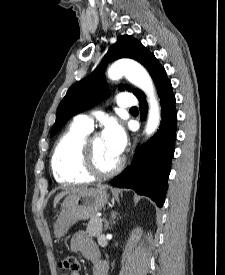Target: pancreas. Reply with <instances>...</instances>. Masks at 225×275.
<instances>
[{
  "label": "pancreas",
  "mask_w": 225,
  "mask_h": 275,
  "mask_svg": "<svg viewBox=\"0 0 225 275\" xmlns=\"http://www.w3.org/2000/svg\"><path fill=\"white\" fill-rule=\"evenodd\" d=\"M98 216H93L87 225L86 232L91 237H99L102 233V222L99 221Z\"/></svg>",
  "instance_id": "pancreas-1"
}]
</instances>
